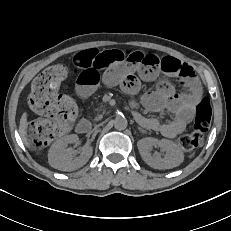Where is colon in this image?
<instances>
[{"label":"colon","mask_w":231,"mask_h":231,"mask_svg":"<svg viewBox=\"0 0 231 231\" xmlns=\"http://www.w3.org/2000/svg\"><path fill=\"white\" fill-rule=\"evenodd\" d=\"M118 56L127 61L142 62L149 55L141 51H123ZM100 58L99 54L77 55L73 63L81 68ZM66 73L67 70L62 65L51 66L41 72L32 83L28 104L41 118L30 123L28 136L31 144L36 148H43L62 136L76 117L77 108L73 100L58 92ZM211 117L210 103L204 99L197 108L193 131L179 137V146L187 151L201 146L204 135L210 127Z\"/></svg>","instance_id":"obj_1"}]
</instances>
